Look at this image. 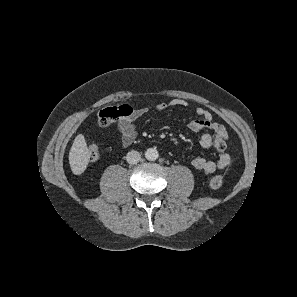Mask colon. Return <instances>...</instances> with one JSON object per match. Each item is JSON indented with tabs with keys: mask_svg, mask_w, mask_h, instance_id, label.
I'll list each match as a JSON object with an SVG mask.
<instances>
[{
	"mask_svg": "<svg viewBox=\"0 0 297 297\" xmlns=\"http://www.w3.org/2000/svg\"><path fill=\"white\" fill-rule=\"evenodd\" d=\"M133 108L128 104H122L117 106H111L104 108L100 111L98 116V123L101 127H107L112 122L122 117H128L132 115ZM215 148L219 152H223L226 148L225 139L222 137H217L215 140ZM100 156V148L99 146L93 144L88 148V157L91 161H95ZM224 181L223 174H216L210 178L209 184L213 189H218L222 186Z\"/></svg>",
	"mask_w": 297,
	"mask_h": 297,
	"instance_id": "colon-1",
	"label": "colon"
}]
</instances>
